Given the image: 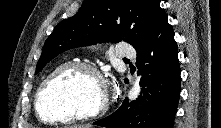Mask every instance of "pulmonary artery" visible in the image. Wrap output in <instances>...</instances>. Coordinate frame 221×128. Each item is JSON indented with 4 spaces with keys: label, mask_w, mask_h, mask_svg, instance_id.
<instances>
[{
    "label": "pulmonary artery",
    "mask_w": 221,
    "mask_h": 128,
    "mask_svg": "<svg viewBox=\"0 0 221 128\" xmlns=\"http://www.w3.org/2000/svg\"><path fill=\"white\" fill-rule=\"evenodd\" d=\"M115 55L119 58L129 59L135 56L133 49L128 48L125 44L120 43L115 46Z\"/></svg>",
    "instance_id": "1"
}]
</instances>
